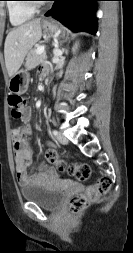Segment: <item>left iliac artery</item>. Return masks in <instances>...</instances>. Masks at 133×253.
Listing matches in <instances>:
<instances>
[{"label": "left iliac artery", "mask_w": 133, "mask_h": 253, "mask_svg": "<svg viewBox=\"0 0 133 253\" xmlns=\"http://www.w3.org/2000/svg\"><path fill=\"white\" fill-rule=\"evenodd\" d=\"M52 134H53L54 136H57V135H58V131H57V130H53V131H52Z\"/></svg>", "instance_id": "left-iliac-artery-1"}]
</instances>
